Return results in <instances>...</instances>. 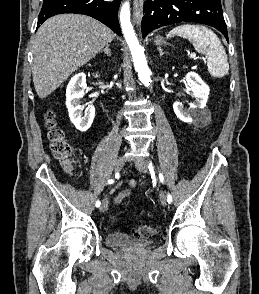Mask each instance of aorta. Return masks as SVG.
<instances>
[{
    "label": "aorta",
    "mask_w": 259,
    "mask_h": 294,
    "mask_svg": "<svg viewBox=\"0 0 259 294\" xmlns=\"http://www.w3.org/2000/svg\"><path fill=\"white\" fill-rule=\"evenodd\" d=\"M130 16V4L129 2H125L122 5L120 11L121 29L130 49L134 67L136 72L138 73V77L145 86H149L151 84V71L147 65L144 49L139 44V41L135 35Z\"/></svg>",
    "instance_id": "1"
}]
</instances>
